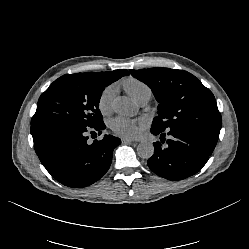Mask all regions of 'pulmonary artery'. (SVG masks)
Returning a JSON list of instances; mask_svg holds the SVG:
<instances>
[{
	"label": "pulmonary artery",
	"mask_w": 249,
	"mask_h": 249,
	"mask_svg": "<svg viewBox=\"0 0 249 249\" xmlns=\"http://www.w3.org/2000/svg\"><path fill=\"white\" fill-rule=\"evenodd\" d=\"M147 102H148V100H147V99H144V100L139 101V104L143 106V105H145Z\"/></svg>",
	"instance_id": "pulmonary-artery-1"
}]
</instances>
